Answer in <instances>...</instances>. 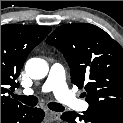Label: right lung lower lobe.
I'll return each mask as SVG.
<instances>
[{
  "instance_id": "1",
  "label": "right lung lower lobe",
  "mask_w": 123,
  "mask_h": 123,
  "mask_svg": "<svg viewBox=\"0 0 123 123\" xmlns=\"http://www.w3.org/2000/svg\"><path fill=\"white\" fill-rule=\"evenodd\" d=\"M43 118V110L26 106L12 108L1 113V123H40Z\"/></svg>"
}]
</instances>
